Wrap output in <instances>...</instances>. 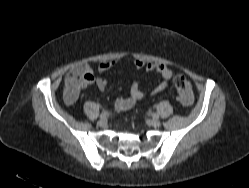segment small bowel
I'll use <instances>...</instances> for the list:
<instances>
[{
	"label": "small bowel",
	"instance_id": "obj_1",
	"mask_svg": "<svg viewBox=\"0 0 249 188\" xmlns=\"http://www.w3.org/2000/svg\"><path fill=\"white\" fill-rule=\"evenodd\" d=\"M134 64L137 69L145 68L148 73L157 74L160 77L153 88L149 91L152 95L165 90L168 87V81L174 75V72L167 65L162 63H145L142 60H136ZM114 65V61H103L99 64L98 71L101 73L106 72ZM73 69L77 70V75H69L66 79L65 100L68 104H72L77 99L81 90L86 89L93 84L102 91L107 87V80L103 77L95 78L88 64H78ZM145 95L146 92L141 89L140 83L135 81L131 85L129 96L117 98L114 102V108L117 111L128 110L144 98Z\"/></svg>",
	"mask_w": 249,
	"mask_h": 188
}]
</instances>
